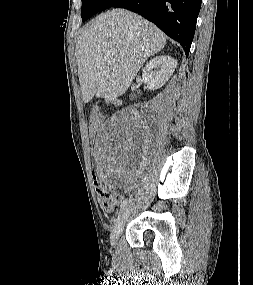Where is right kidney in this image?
<instances>
[{
  "mask_svg": "<svg viewBox=\"0 0 253 285\" xmlns=\"http://www.w3.org/2000/svg\"><path fill=\"white\" fill-rule=\"evenodd\" d=\"M177 61L168 55H160L151 59L144 67L142 77L150 90H156L165 85L172 76Z\"/></svg>",
  "mask_w": 253,
  "mask_h": 285,
  "instance_id": "right-kidney-1",
  "label": "right kidney"
}]
</instances>
